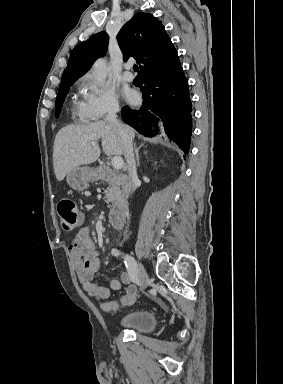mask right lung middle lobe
Wrapping results in <instances>:
<instances>
[{"label":"right lung middle lobe","instance_id":"dd1d6c3e","mask_svg":"<svg viewBox=\"0 0 283 384\" xmlns=\"http://www.w3.org/2000/svg\"><path fill=\"white\" fill-rule=\"evenodd\" d=\"M73 83L74 82L60 84L59 91H58V96H57V99H56V102H55V105H56L55 106L56 117L59 116V113H60L61 108H62L63 101H64L67 93L69 92L70 86Z\"/></svg>","mask_w":283,"mask_h":384}]
</instances>
